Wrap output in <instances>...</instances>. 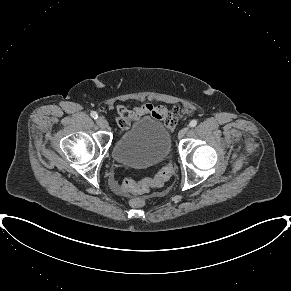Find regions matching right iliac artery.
I'll use <instances>...</instances> for the list:
<instances>
[{
	"label": "right iliac artery",
	"mask_w": 291,
	"mask_h": 291,
	"mask_svg": "<svg viewBox=\"0 0 291 291\" xmlns=\"http://www.w3.org/2000/svg\"><path fill=\"white\" fill-rule=\"evenodd\" d=\"M90 115H91V117L94 118V119H97V118H98V114H97V112H95V111H92Z\"/></svg>",
	"instance_id": "obj_1"
}]
</instances>
